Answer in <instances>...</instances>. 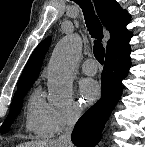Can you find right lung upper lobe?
Wrapping results in <instances>:
<instances>
[{
	"label": "right lung upper lobe",
	"instance_id": "cb5924a9",
	"mask_svg": "<svg viewBox=\"0 0 145 147\" xmlns=\"http://www.w3.org/2000/svg\"><path fill=\"white\" fill-rule=\"evenodd\" d=\"M96 11L103 25L110 32L107 42L109 49L116 41L129 33L126 29L130 17L115 0H94ZM51 43V38L43 40L33 51L17 83V89L31 86L37 79L42 60Z\"/></svg>",
	"mask_w": 145,
	"mask_h": 147
}]
</instances>
